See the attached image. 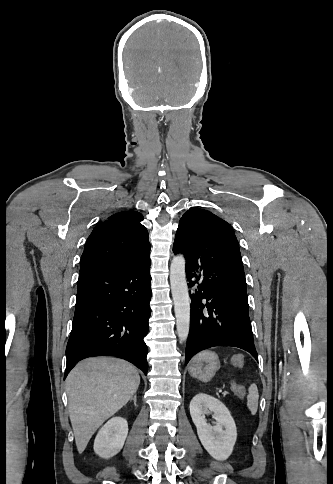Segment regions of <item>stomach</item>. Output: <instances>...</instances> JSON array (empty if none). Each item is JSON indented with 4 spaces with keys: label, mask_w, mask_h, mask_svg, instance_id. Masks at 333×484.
<instances>
[{
    "label": "stomach",
    "mask_w": 333,
    "mask_h": 484,
    "mask_svg": "<svg viewBox=\"0 0 333 484\" xmlns=\"http://www.w3.org/2000/svg\"><path fill=\"white\" fill-rule=\"evenodd\" d=\"M220 368V361L214 352L209 350L200 352L189 364V373L192 377L198 378L203 382H208Z\"/></svg>",
    "instance_id": "obj_1"
}]
</instances>
